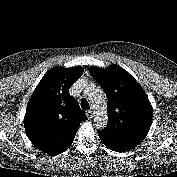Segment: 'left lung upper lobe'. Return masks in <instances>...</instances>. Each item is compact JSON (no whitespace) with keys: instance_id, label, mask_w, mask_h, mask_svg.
Listing matches in <instances>:
<instances>
[{"instance_id":"1","label":"left lung upper lobe","mask_w":177,"mask_h":177,"mask_svg":"<svg viewBox=\"0 0 177 177\" xmlns=\"http://www.w3.org/2000/svg\"><path fill=\"white\" fill-rule=\"evenodd\" d=\"M89 72L108 99L109 124L98 132L102 143L111 141L135 148L152 123L153 110L146 93L131 74L116 64L107 69L91 67Z\"/></svg>"}]
</instances>
